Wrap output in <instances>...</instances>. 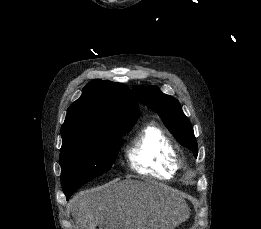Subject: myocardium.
Instances as JSON below:
<instances>
[{"instance_id":"myocardium-1","label":"myocardium","mask_w":261,"mask_h":229,"mask_svg":"<svg viewBox=\"0 0 261 229\" xmlns=\"http://www.w3.org/2000/svg\"><path fill=\"white\" fill-rule=\"evenodd\" d=\"M183 164V160L176 154V157L174 159V165L176 168L181 167Z\"/></svg>"}]
</instances>
